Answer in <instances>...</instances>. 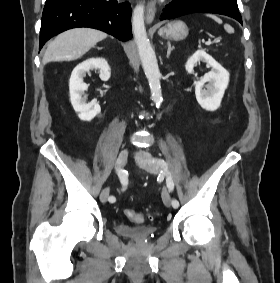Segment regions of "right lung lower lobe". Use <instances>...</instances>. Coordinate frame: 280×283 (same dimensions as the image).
<instances>
[{
    "mask_svg": "<svg viewBox=\"0 0 280 283\" xmlns=\"http://www.w3.org/2000/svg\"><path fill=\"white\" fill-rule=\"evenodd\" d=\"M131 5L116 0H50L41 19L39 49L53 36L77 27L102 30L121 41L132 38Z\"/></svg>",
    "mask_w": 280,
    "mask_h": 283,
    "instance_id": "obj_1",
    "label": "right lung lower lobe"
}]
</instances>
